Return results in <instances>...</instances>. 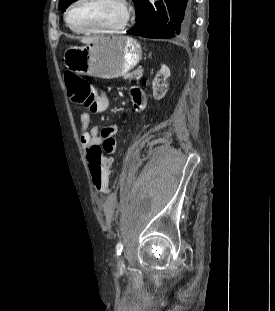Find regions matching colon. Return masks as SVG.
<instances>
[{"label": "colon", "mask_w": 275, "mask_h": 311, "mask_svg": "<svg viewBox=\"0 0 275 311\" xmlns=\"http://www.w3.org/2000/svg\"><path fill=\"white\" fill-rule=\"evenodd\" d=\"M65 84L72 103L88 105L95 98L93 86L83 78L73 74H65ZM89 170L94 189L105 192L108 188L111 159L104 156L100 146L94 145L88 152Z\"/></svg>", "instance_id": "colon-1"}]
</instances>
